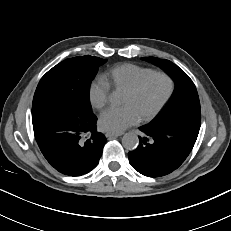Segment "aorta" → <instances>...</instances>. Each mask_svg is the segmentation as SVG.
Returning <instances> with one entry per match:
<instances>
[{"label": "aorta", "instance_id": "1", "mask_svg": "<svg viewBox=\"0 0 231 231\" xmlns=\"http://www.w3.org/2000/svg\"><path fill=\"white\" fill-rule=\"evenodd\" d=\"M110 102L112 104L118 103V98L115 94H112L110 96ZM122 144L127 150H134L139 145V138L136 134L132 132L126 133L122 138Z\"/></svg>", "mask_w": 231, "mask_h": 231}]
</instances>
